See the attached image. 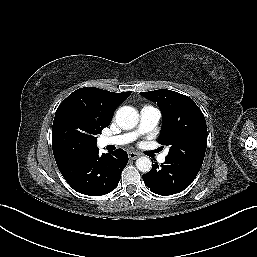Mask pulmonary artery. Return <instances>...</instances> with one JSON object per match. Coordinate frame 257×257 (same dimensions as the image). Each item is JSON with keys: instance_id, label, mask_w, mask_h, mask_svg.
Here are the masks:
<instances>
[{"instance_id": "obj_1", "label": "pulmonary artery", "mask_w": 257, "mask_h": 257, "mask_svg": "<svg viewBox=\"0 0 257 257\" xmlns=\"http://www.w3.org/2000/svg\"><path fill=\"white\" fill-rule=\"evenodd\" d=\"M161 118L160 111L153 106H144L140 111V122L135 131L116 136H106L101 138L103 146L107 145H125L135 141L140 135L152 131L159 123ZM167 153L158 157V161L163 163Z\"/></svg>"}]
</instances>
